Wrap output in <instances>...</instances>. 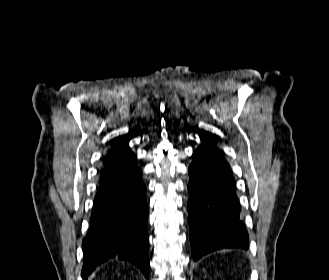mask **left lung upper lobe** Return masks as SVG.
Wrapping results in <instances>:
<instances>
[{
  "label": "left lung upper lobe",
  "instance_id": "1",
  "mask_svg": "<svg viewBox=\"0 0 329 280\" xmlns=\"http://www.w3.org/2000/svg\"><path fill=\"white\" fill-rule=\"evenodd\" d=\"M201 139H202V143L200 144V146L197 148L196 151H198L200 148H202L204 146H208V147H214L215 146L213 144L212 140L209 137H207V136H201ZM193 156H194V154H193Z\"/></svg>",
  "mask_w": 329,
  "mask_h": 280
}]
</instances>
